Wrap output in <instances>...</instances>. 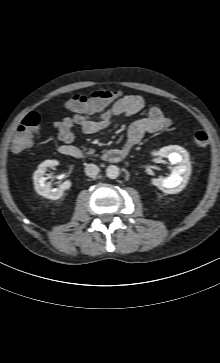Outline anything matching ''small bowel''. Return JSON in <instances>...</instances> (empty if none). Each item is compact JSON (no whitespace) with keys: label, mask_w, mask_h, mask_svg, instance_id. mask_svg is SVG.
<instances>
[{"label":"small bowel","mask_w":220,"mask_h":363,"mask_svg":"<svg viewBox=\"0 0 220 363\" xmlns=\"http://www.w3.org/2000/svg\"><path fill=\"white\" fill-rule=\"evenodd\" d=\"M146 108L145 99L139 95H126L116 101L100 105L94 99H87L84 108L73 110L72 114L54 122L59 141L70 144L75 140V126L86 134H95L106 129L116 116H134ZM171 119L159 107H150L146 114L135 120L129 127L125 147L136 146L149 133H156L168 128Z\"/></svg>","instance_id":"1"}]
</instances>
